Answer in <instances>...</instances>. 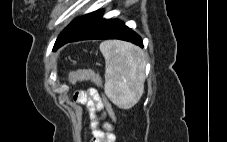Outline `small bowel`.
<instances>
[{
  "mask_svg": "<svg viewBox=\"0 0 227 142\" xmlns=\"http://www.w3.org/2000/svg\"><path fill=\"white\" fill-rule=\"evenodd\" d=\"M74 99L89 109L92 120V142H115L116 135L112 126L105 122L101 127L100 120L105 119L108 112L97 90L94 88L78 90L74 94Z\"/></svg>",
  "mask_w": 227,
  "mask_h": 142,
  "instance_id": "obj_1",
  "label": "small bowel"
}]
</instances>
